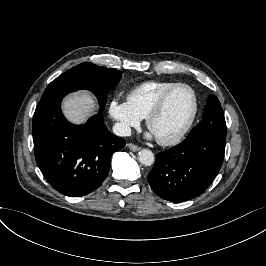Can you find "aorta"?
Instances as JSON below:
<instances>
[{
  "label": "aorta",
  "mask_w": 266,
  "mask_h": 266,
  "mask_svg": "<svg viewBox=\"0 0 266 266\" xmlns=\"http://www.w3.org/2000/svg\"><path fill=\"white\" fill-rule=\"evenodd\" d=\"M139 161L140 163L150 166L154 163V154L151 150L149 149H142L139 152Z\"/></svg>",
  "instance_id": "1"
}]
</instances>
